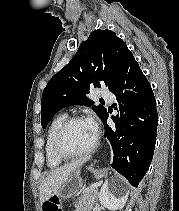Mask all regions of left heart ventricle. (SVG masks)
I'll return each instance as SVG.
<instances>
[{"instance_id":"b2bd125f","label":"left heart ventricle","mask_w":179,"mask_h":211,"mask_svg":"<svg viewBox=\"0 0 179 211\" xmlns=\"http://www.w3.org/2000/svg\"><path fill=\"white\" fill-rule=\"evenodd\" d=\"M95 138L96 135L89 123L80 121L73 124L68 130L64 140V148L70 153H80L90 148Z\"/></svg>"}]
</instances>
